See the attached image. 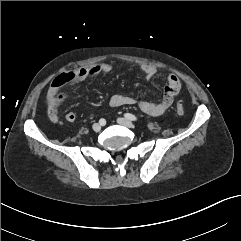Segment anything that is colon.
Masks as SVG:
<instances>
[{
  "mask_svg": "<svg viewBox=\"0 0 241 241\" xmlns=\"http://www.w3.org/2000/svg\"><path fill=\"white\" fill-rule=\"evenodd\" d=\"M75 75L72 72H63L59 77L54 78L52 87L61 88L68 86L69 83L74 82ZM185 111L184 104L178 102L176 104V112L179 115H182Z\"/></svg>",
  "mask_w": 241,
  "mask_h": 241,
  "instance_id": "colon-1",
  "label": "colon"
}]
</instances>
